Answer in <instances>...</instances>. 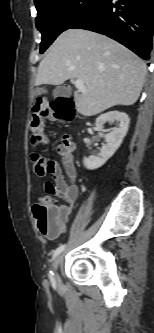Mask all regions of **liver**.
<instances>
[{
  "mask_svg": "<svg viewBox=\"0 0 154 333\" xmlns=\"http://www.w3.org/2000/svg\"><path fill=\"white\" fill-rule=\"evenodd\" d=\"M145 75V62L117 41L84 29H68L40 62L35 85L82 80L86 92H74L75 106L81 115L93 116L115 105L134 104Z\"/></svg>",
  "mask_w": 154,
  "mask_h": 333,
  "instance_id": "1",
  "label": "liver"
}]
</instances>
